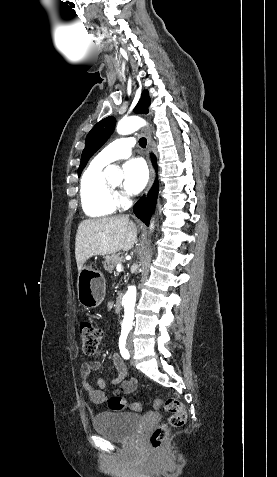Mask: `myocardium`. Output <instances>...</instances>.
<instances>
[{
	"instance_id": "myocardium-1",
	"label": "myocardium",
	"mask_w": 277,
	"mask_h": 477,
	"mask_svg": "<svg viewBox=\"0 0 277 477\" xmlns=\"http://www.w3.org/2000/svg\"><path fill=\"white\" fill-rule=\"evenodd\" d=\"M106 188L110 195L115 196L117 192V187L113 186L107 179L105 180Z\"/></svg>"
}]
</instances>
